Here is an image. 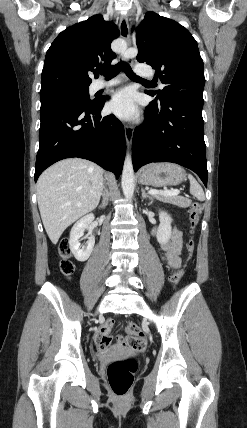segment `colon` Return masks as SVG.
I'll return each instance as SVG.
<instances>
[{"instance_id": "5ec220e1", "label": "colon", "mask_w": 247, "mask_h": 428, "mask_svg": "<svg viewBox=\"0 0 247 428\" xmlns=\"http://www.w3.org/2000/svg\"><path fill=\"white\" fill-rule=\"evenodd\" d=\"M202 212V206L199 203H193L188 212V221L190 226L191 233L194 232L196 228L200 214ZM186 251L188 255H191L194 251V241L189 239L186 244ZM57 252L60 258V270L65 276H71L74 272V264L70 259L71 249L70 243L67 239L60 241ZM183 270L181 268L175 269L171 276L170 280L174 285H178L182 279ZM114 325V320L109 319L100 329V338L98 341V346L100 349H106L110 347L113 343V338L110 336V331ZM120 343L124 346L135 350L140 351L145 348L147 341L145 335L141 328L134 324L130 323L126 326V334L124 337L119 339ZM137 370V362L133 358L120 359L111 362L107 367V378L110 384V387L113 393L118 397H123L129 391L134 374Z\"/></svg>"}]
</instances>
